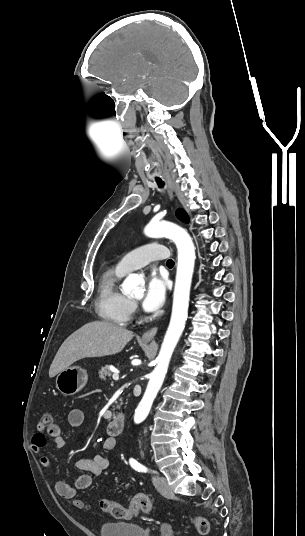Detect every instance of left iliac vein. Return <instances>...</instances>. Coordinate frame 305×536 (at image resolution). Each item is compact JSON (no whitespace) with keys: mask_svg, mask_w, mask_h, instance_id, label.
Segmentation results:
<instances>
[{"mask_svg":"<svg viewBox=\"0 0 305 536\" xmlns=\"http://www.w3.org/2000/svg\"><path fill=\"white\" fill-rule=\"evenodd\" d=\"M153 484L157 488V490L163 494V495H169L172 494V489L168 485V481L165 477L158 476L152 478Z\"/></svg>","mask_w":305,"mask_h":536,"instance_id":"1","label":"left iliac vein"}]
</instances>
